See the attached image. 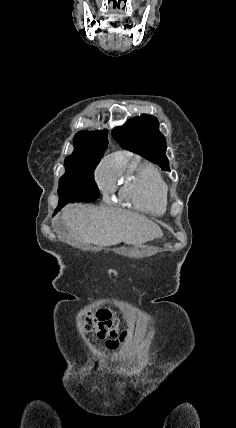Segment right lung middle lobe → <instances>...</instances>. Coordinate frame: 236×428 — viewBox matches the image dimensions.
<instances>
[{"instance_id": "obj_1", "label": "right lung middle lobe", "mask_w": 236, "mask_h": 428, "mask_svg": "<svg viewBox=\"0 0 236 428\" xmlns=\"http://www.w3.org/2000/svg\"><path fill=\"white\" fill-rule=\"evenodd\" d=\"M94 167H65V174L59 179V211L68 203L93 202L99 197L94 182Z\"/></svg>"}]
</instances>
